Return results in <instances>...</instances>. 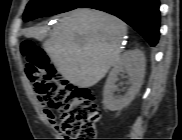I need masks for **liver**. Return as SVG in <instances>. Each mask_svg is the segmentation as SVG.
Instances as JSON below:
<instances>
[{
    "label": "liver",
    "instance_id": "obj_1",
    "mask_svg": "<svg viewBox=\"0 0 182 140\" xmlns=\"http://www.w3.org/2000/svg\"><path fill=\"white\" fill-rule=\"evenodd\" d=\"M47 30L29 28L24 36L43 41L55 68L71 84L91 87L120 60L127 26L108 13L78 8L63 15L48 39Z\"/></svg>",
    "mask_w": 182,
    "mask_h": 140
}]
</instances>
